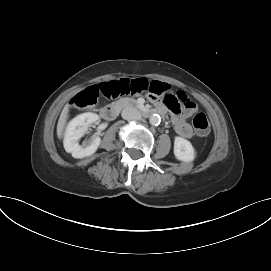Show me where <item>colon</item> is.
I'll use <instances>...</instances> for the list:
<instances>
[{"instance_id":"obj_1","label":"colon","mask_w":271,"mask_h":271,"mask_svg":"<svg viewBox=\"0 0 271 271\" xmlns=\"http://www.w3.org/2000/svg\"><path fill=\"white\" fill-rule=\"evenodd\" d=\"M151 86V82L144 78L138 79H119L104 82L98 85H92L79 92L72 99V105L77 108H87L94 106L99 96L102 94L106 97H119L123 95H135L143 92H148V87ZM169 87L166 88L165 95H153L158 98L167 106L173 113L179 114L182 109V105L186 109L193 108V104L186 99L185 96L174 95L168 93ZM193 126L196 134L199 137H205L209 134L210 124L204 113H196L193 117Z\"/></svg>"}]
</instances>
